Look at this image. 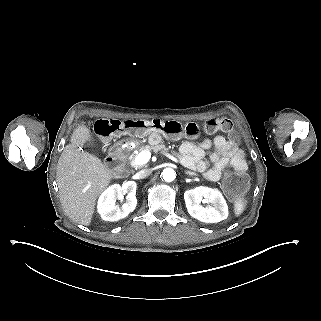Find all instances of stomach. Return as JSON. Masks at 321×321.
<instances>
[{
  "mask_svg": "<svg viewBox=\"0 0 321 321\" xmlns=\"http://www.w3.org/2000/svg\"><path fill=\"white\" fill-rule=\"evenodd\" d=\"M132 140H136V139H132ZM129 143V140L128 139H124V140H120V141H118L117 143H115V145H114V147H119V146H121L122 144H124V143Z\"/></svg>",
  "mask_w": 321,
  "mask_h": 321,
  "instance_id": "obj_1",
  "label": "stomach"
}]
</instances>
